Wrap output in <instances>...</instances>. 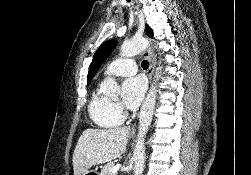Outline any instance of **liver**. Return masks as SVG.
<instances>
[{"label": "liver", "mask_w": 251, "mask_h": 175, "mask_svg": "<svg viewBox=\"0 0 251 175\" xmlns=\"http://www.w3.org/2000/svg\"><path fill=\"white\" fill-rule=\"evenodd\" d=\"M131 129H85L74 149L72 161L74 175H83L92 165L106 163L124 153Z\"/></svg>", "instance_id": "obj_1"}]
</instances>
